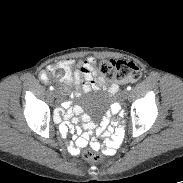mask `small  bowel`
I'll list each match as a JSON object with an SVG mask.
<instances>
[{
	"instance_id": "obj_1",
	"label": "small bowel",
	"mask_w": 183,
	"mask_h": 183,
	"mask_svg": "<svg viewBox=\"0 0 183 183\" xmlns=\"http://www.w3.org/2000/svg\"><path fill=\"white\" fill-rule=\"evenodd\" d=\"M57 70H62L63 75L59 82L67 84L72 82L74 85V94L78 95L81 91L89 92L99 88H107L111 95L117 93L119 86L116 83L107 84V81L99 76H96L95 59L87 57L85 60L76 61L74 59H65L57 64L50 66L41 74V78L47 82L49 77L48 72L55 73ZM74 94L70 95V99L63 102L54 112V120L61 123L60 132L63 137H66L70 130L76 129L81 133L74 139L73 144L69 145L70 151L78 155L88 145V139L91 133L96 137L103 139L102 144L97 141H92L90 146L94 150H103V155L106 158H111L114 155V150L118 148L122 142L124 131L128 121L121 115V108L118 103L112 105L106 116L99 125L90 120L89 116L83 114V110L79 105H72ZM75 125V127H74ZM114 126L117 128L114 130Z\"/></svg>"
}]
</instances>
